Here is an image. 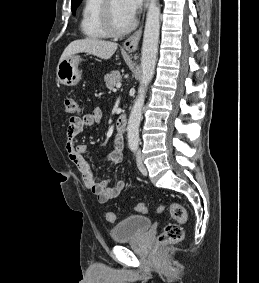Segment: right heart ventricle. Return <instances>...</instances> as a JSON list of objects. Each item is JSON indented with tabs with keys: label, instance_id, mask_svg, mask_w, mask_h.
I'll return each instance as SVG.
<instances>
[{
	"label": "right heart ventricle",
	"instance_id": "right-heart-ventricle-1",
	"mask_svg": "<svg viewBox=\"0 0 259 283\" xmlns=\"http://www.w3.org/2000/svg\"><path fill=\"white\" fill-rule=\"evenodd\" d=\"M103 0H85L82 8L80 27L82 33L90 39L109 37L101 19Z\"/></svg>",
	"mask_w": 259,
	"mask_h": 283
}]
</instances>
